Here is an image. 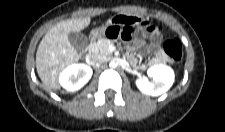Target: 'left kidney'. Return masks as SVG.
<instances>
[{
	"label": "left kidney",
	"instance_id": "1",
	"mask_svg": "<svg viewBox=\"0 0 225 132\" xmlns=\"http://www.w3.org/2000/svg\"><path fill=\"white\" fill-rule=\"evenodd\" d=\"M147 74L152 80L139 78L136 80V86L142 93L150 96H159L168 91L175 79L173 69L162 64L151 66Z\"/></svg>",
	"mask_w": 225,
	"mask_h": 132
}]
</instances>
